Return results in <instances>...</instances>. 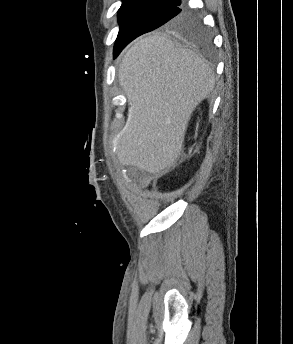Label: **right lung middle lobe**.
Masks as SVG:
<instances>
[{
	"label": "right lung middle lobe",
	"instance_id": "right-lung-middle-lobe-1",
	"mask_svg": "<svg viewBox=\"0 0 293 344\" xmlns=\"http://www.w3.org/2000/svg\"><path fill=\"white\" fill-rule=\"evenodd\" d=\"M177 6L163 3H122L118 11L120 30L114 56L136 37L162 25L194 44L207 47L210 38L197 16Z\"/></svg>",
	"mask_w": 293,
	"mask_h": 344
}]
</instances>
